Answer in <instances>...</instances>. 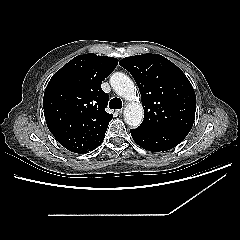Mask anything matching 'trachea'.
Wrapping results in <instances>:
<instances>
[{
	"mask_svg": "<svg viewBox=\"0 0 240 240\" xmlns=\"http://www.w3.org/2000/svg\"><path fill=\"white\" fill-rule=\"evenodd\" d=\"M109 108L111 109H121L122 108V101L120 98H113L109 102Z\"/></svg>",
	"mask_w": 240,
	"mask_h": 240,
	"instance_id": "obj_1",
	"label": "trachea"
}]
</instances>
